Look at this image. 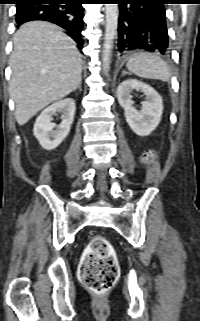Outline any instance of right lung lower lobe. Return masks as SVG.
I'll use <instances>...</instances> for the list:
<instances>
[{"label": "right lung lower lobe", "instance_id": "1", "mask_svg": "<svg viewBox=\"0 0 200 321\" xmlns=\"http://www.w3.org/2000/svg\"><path fill=\"white\" fill-rule=\"evenodd\" d=\"M85 0H21L17 2V27L25 22L43 20L54 23L67 31L83 47L82 30Z\"/></svg>", "mask_w": 200, "mask_h": 321}]
</instances>
